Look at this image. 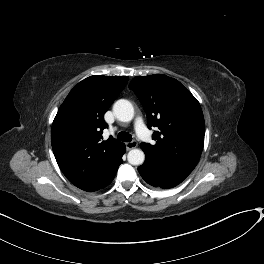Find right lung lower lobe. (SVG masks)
Here are the masks:
<instances>
[{
	"label": "right lung lower lobe",
	"instance_id": "obj_1",
	"mask_svg": "<svg viewBox=\"0 0 264 264\" xmlns=\"http://www.w3.org/2000/svg\"><path fill=\"white\" fill-rule=\"evenodd\" d=\"M114 178V177H113ZM113 178L112 179H110L109 181H108V183L107 184H105L102 188H104L105 186H107L108 184H110V182L113 180ZM101 189V188H100ZM99 190V189H98Z\"/></svg>",
	"mask_w": 264,
	"mask_h": 264
}]
</instances>
